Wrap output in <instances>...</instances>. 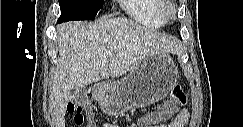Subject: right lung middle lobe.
<instances>
[{
  "label": "right lung middle lobe",
  "mask_w": 243,
  "mask_h": 127,
  "mask_svg": "<svg viewBox=\"0 0 243 127\" xmlns=\"http://www.w3.org/2000/svg\"><path fill=\"white\" fill-rule=\"evenodd\" d=\"M61 16L58 23L71 20H93L103 0H59Z\"/></svg>",
  "instance_id": "obj_1"
}]
</instances>
